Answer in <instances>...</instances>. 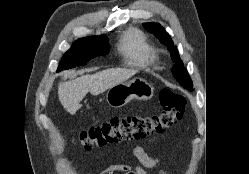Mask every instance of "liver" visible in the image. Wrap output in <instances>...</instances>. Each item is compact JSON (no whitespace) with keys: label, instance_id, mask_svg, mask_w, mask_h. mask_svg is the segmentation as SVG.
<instances>
[{"label":"liver","instance_id":"6515ba94","mask_svg":"<svg viewBox=\"0 0 249 174\" xmlns=\"http://www.w3.org/2000/svg\"><path fill=\"white\" fill-rule=\"evenodd\" d=\"M137 73L134 69L114 68L84 75L73 81L60 83L58 86L59 101L64 109L74 114L81 108L80 102L88 92L99 95L111 87L124 82Z\"/></svg>","mask_w":249,"mask_h":174}]
</instances>
